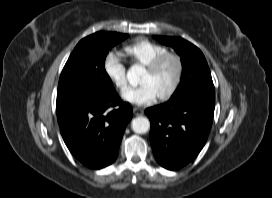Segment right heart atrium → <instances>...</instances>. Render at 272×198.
I'll return each mask as SVG.
<instances>
[{
	"label": "right heart atrium",
	"mask_w": 272,
	"mask_h": 198,
	"mask_svg": "<svg viewBox=\"0 0 272 198\" xmlns=\"http://www.w3.org/2000/svg\"><path fill=\"white\" fill-rule=\"evenodd\" d=\"M104 72L110 81L120 90L127 85L126 65L116 52H108L103 60Z\"/></svg>",
	"instance_id": "right-heart-atrium-1"
}]
</instances>
